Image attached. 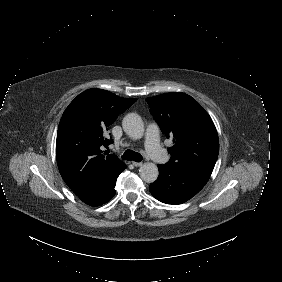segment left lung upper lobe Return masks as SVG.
<instances>
[{
    "label": "left lung upper lobe",
    "instance_id": "5c2ea615",
    "mask_svg": "<svg viewBox=\"0 0 282 282\" xmlns=\"http://www.w3.org/2000/svg\"><path fill=\"white\" fill-rule=\"evenodd\" d=\"M162 132L173 140L165 167L213 169L219 154L214 123L204 108L184 93H166L146 99Z\"/></svg>",
    "mask_w": 282,
    "mask_h": 282
}]
</instances>
